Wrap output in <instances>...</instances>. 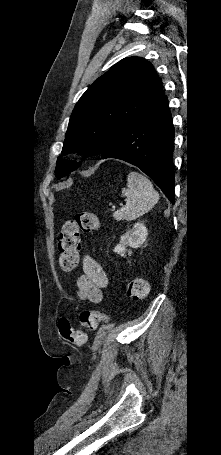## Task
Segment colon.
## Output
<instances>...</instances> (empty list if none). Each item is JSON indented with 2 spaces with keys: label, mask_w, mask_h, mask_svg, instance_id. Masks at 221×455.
Masks as SVG:
<instances>
[{
  "label": "colon",
  "mask_w": 221,
  "mask_h": 455,
  "mask_svg": "<svg viewBox=\"0 0 221 455\" xmlns=\"http://www.w3.org/2000/svg\"><path fill=\"white\" fill-rule=\"evenodd\" d=\"M100 228L98 216L93 212H79L64 222L59 234V265L66 272L73 271L79 262L81 249L80 233H93ZM126 293L130 299L143 300L148 296L149 284L143 278L132 280L126 285ZM100 311L85 310L79 315L83 329H74L67 318H61L58 329L61 337L71 345H83L86 341V330L95 329L104 320Z\"/></svg>",
  "instance_id": "1"
}]
</instances>
